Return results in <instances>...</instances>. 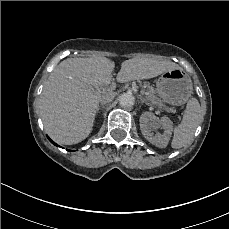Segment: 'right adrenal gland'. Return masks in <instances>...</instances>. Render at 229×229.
I'll list each match as a JSON object with an SVG mask.
<instances>
[{"mask_svg":"<svg viewBox=\"0 0 229 229\" xmlns=\"http://www.w3.org/2000/svg\"><path fill=\"white\" fill-rule=\"evenodd\" d=\"M102 106V108H105V106L104 105H101ZM101 106H99L98 108H97V114H99L100 113V109H101Z\"/></svg>","mask_w":229,"mask_h":229,"instance_id":"1","label":"right adrenal gland"}]
</instances>
